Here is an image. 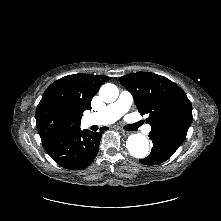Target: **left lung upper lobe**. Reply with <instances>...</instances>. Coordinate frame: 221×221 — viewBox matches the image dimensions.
Returning <instances> with one entry per match:
<instances>
[{"label": "left lung upper lobe", "instance_id": "1", "mask_svg": "<svg viewBox=\"0 0 221 221\" xmlns=\"http://www.w3.org/2000/svg\"><path fill=\"white\" fill-rule=\"evenodd\" d=\"M132 94L141 115L153 131L185 140L192 122V105L185 92L168 78L150 72H136L119 78Z\"/></svg>", "mask_w": 221, "mask_h": 221}]
</instances>
